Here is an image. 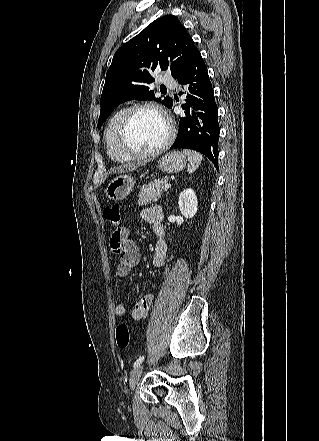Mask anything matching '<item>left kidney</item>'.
I'll list each match as a JSON object with an SVG mask.
<instances>
[{
	"mask_svg": "<svg viewBox=\"0 0 319 441\" xmlns=\"http://www.w3.org/2000/svg\"><path fill=\"white\" fill-rule=\"evenodd\" d=\"M179 209L185 218H193L198 209L197 197L193 189L181 192L178 200Z\"/></svg>",
	"mask_w": 319,
	"mask_h": 441,
	"instance_id": "5707ae66",
	"label": "left kidney"
}]
</instances>
